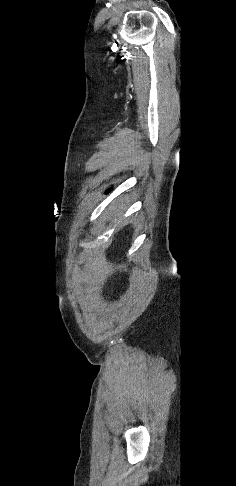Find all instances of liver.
Returning <instances> with one entry per match:
<instances>
[{"label": "liver", "instance_id": "obj_1", "mask_svg": "<svg viewBox=\"0 0 236 486\" xmlns=\"http://www.w3.org/2000/svg\"><path fill=\"white\" fill-rule=\"evenodd\" d=\"M118 205H119V203H116V204H115V206H116V207H117ZM113 208H114V206H113Z\"/></svg>", "mask_w": 236, "mask_h": 486}]
</instances>
